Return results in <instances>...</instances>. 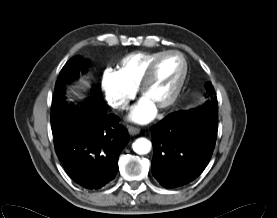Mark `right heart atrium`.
Returning <instances> with one entry per match:
<instances>
[{"mask_svg":"<svg viewBox=\"0 0 277 218\" xmlns=\"http://www.w3.org/2000/svg\"><path fill=\"white\" fill-rule=\"evenodd\" d=\"M101 89L106 102L115 109H126L136 89L127 84L118 71L106 68L101 76Z\"/></svg>","mask_w":277,"mask_h":218,"instance_id":"1","label":"right heart atrium"}]
</instances>
